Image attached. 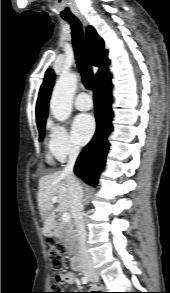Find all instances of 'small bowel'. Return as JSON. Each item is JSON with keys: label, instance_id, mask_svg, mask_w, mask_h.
Here are the masks:
<instances>
[{"label": "small bowel", "instance_id": "small-bowel-1", "mask_svg": "<svg viewBox=\"0 0 170 293\" xmlns=\"http://www.w3.org/2000/svg\"><path fill=\"white\" fill-rule=\"evenodd\" d=\"M67 282H68L69 284H75V283H77V277H76V275L73 274V273H69V274L67 275ZM92 293H100V292H98V291H93Z\"/></svg>", "mask_w": 170, "mask_h": 293}]
</instances>
